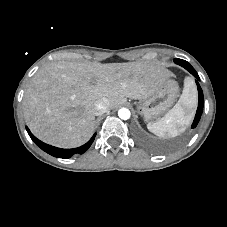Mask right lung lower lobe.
<instances>
[{
  "label": "right lung lower lobe",
  "mask_w": 227,
  "mask_h": 227,
  "mask_svg": "<svg viewBox=\"0 0 227 227\" xmlns=\"http://www.w3.org/2000/svg\"><path fill=\"white\" fill-rule=\"evenodd\" d=\"M26 130L29 134V136L31 137V139L33 140V142L38 145L42 150H44L45 152H47L48 154L54 156V157H58V158H69L72 155L78 153V154H82L84 153L92 144V142L94 141V138L96 136V134L93 135V137L84 145L78 147V148H74V149H61V148H57L51 145H48L46 143H43L42 141H40L39 139H37L28 129V127H26Z\"/></svg>",
  "instance_id": "98d812e1"
}]
</instances>
